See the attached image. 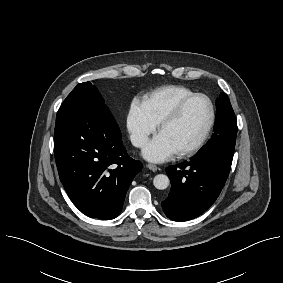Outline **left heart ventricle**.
Segmentation results:
<instances>
[{"label":"left heart ventricle","mask_w":283,"mask_h":283,"mask_svg":"<svg viewBox=\"0 0 283 283\" xmlns=\"http://www.w3.org/2000/svg\"><path fill=\"white\" fill-rule=\"evenodd\" d=\"M210 119V106L203 98L192 101L180 118L165 127L162 134L177 153L195 144L204 133Z\"/></svg>","instance_id":"obj_1"}]
</instances>
